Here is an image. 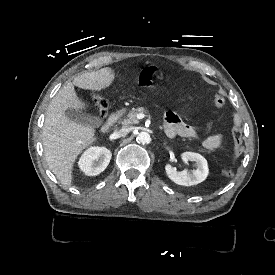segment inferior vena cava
Returning <instances> with one entry per match:
<instances>
[{
  "mask_svg": "<svg viewBox=\"0 0 275 275\" xmlns=\"http://www.w3.org/2000/svg\"><path fill=\"white\" fill-rule=\"evenodd\" d=\"M131 131V128L130 127H122L121 129H116L112 136L114 139H117V138H121L125 135H127L128 133H130Z\"/></svg>",
  "mask_w": 275,
  "mask_h": 275,
  "instance_id": "inferior-vena-cava-1",
  "label": "inferior vena cava"
}]
</instances>
